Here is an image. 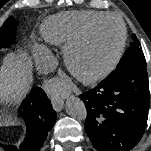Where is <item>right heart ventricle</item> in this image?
Segmentation results:
<instances>
[{
	"instance_id": "right-heart-ventricle-1",
	"label": "right heart ventricle",
	"mask_w": 151,
	"mask_h": 151,
	"mask_svg": "<svg viewBox=\"0 0 151 151\" xmlns=\"http://www.w3.org/2000/svg\"><path fill=\"white\" fill-rule=\"evenodd\" d=\"M93 10L69 11L47 18L41 26L44 39L55 45H67L76 39L93 21L105 15Z\"/></svg>"
}]
</instances>
